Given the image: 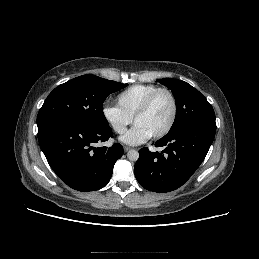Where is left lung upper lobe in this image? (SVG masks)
<instances>
[{"label": "left lung upper lobe", "instance_id": "1", "mask_svg": "<svg viewBox=\"0 0 259 259\" xmlns=\"http://www.w3.org/2000/svg\"><path fill=\"white\" fill-rule=\"evenodd\" d=\"M159 83L171 89L176 102V116L170 131L192 124L216 128L212 105L203 94L185 81L159 79Z\"/></svg>", "mask_w": 259, "mask_h": 259}]
</instances>
